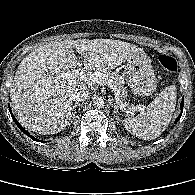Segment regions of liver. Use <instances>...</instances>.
Wrapping results in <instances>:
<instances>
[{"label":"liver","mask_w":195,"mask_h":195,"mask_svg":"<svg viewBox=\"0 0 195 195\" xmlns=\"http://www.w3.org/2000/svg\"><path fill=\"white\" fill-rule=\"evenodd\" d=\"M73 49L84 57L85 68L96 73L145 54L134 44L111 39L63 40L38 47L21 61L10 89L16 116L28 130L55 134L70 124L71 94L84 85L79 79L63 76L64 70L82 65Z\"/></svg>","instance_id":"liver-1"}]
</instances>
